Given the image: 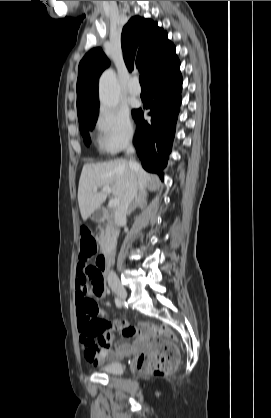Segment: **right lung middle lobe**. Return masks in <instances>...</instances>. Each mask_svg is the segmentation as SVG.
<instances>
[{"mask_svg": "<svg viewBox=\"0 0 271 418\" xmlns=\"http://www.w3.org/2000/svg\"><path fill=\"white\" fill-rule=\"evenodd\" d=\"M98 111H99V106L89 111L86 114L78 116L79 123H80V132L82 136L85 138L86 143L90 142L89 131H92L96 124Z\"/></svg>", "mask_w": 271, "mask_h": 418, "instance_id": "1", "label": "right lung middle lobe"}]
</instances>
